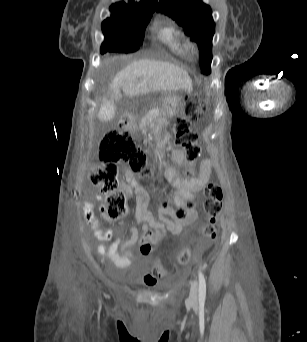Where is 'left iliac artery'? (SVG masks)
Returning <instances> with one entry per match:
<instances>
[{"mask_svg":"<svg viewBox=\"0 0 307 342\" xmlns=\"http://www.w3.org/2000/svg\"><path fill=\"white\" fill-rule=\"evenodd\" d=\"M199 276V302L204 303L206 298V281L203 273L198 271Z\"/></svg>","mask_w":307,"mask_h":342,"instance_id":"44dca946","label":"left iliac artery"}]
</instances>
